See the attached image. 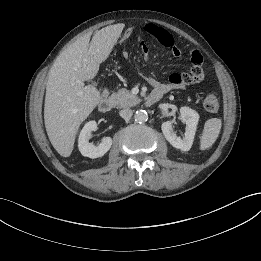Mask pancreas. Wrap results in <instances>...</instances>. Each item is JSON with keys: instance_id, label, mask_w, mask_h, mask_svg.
Returning <instances> with one entry per match:
<instances>
[{"instance_id": "obj_1", "label": "pancreas", "mask_w": 261, "mask_h": 261, "mask_svg": "<svg viewBox=\"0 0 261 261\" xmlns=\"http://www.w3.org/2000/svg\"><path fill=\"white\" fill-rule=\"evenodd\" d=\"M110 99L114 102V105L118 108L132 107L140 102V99L132 94L127 89H120L110 96Z\"/></svg>"}]
</instances>
